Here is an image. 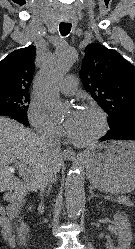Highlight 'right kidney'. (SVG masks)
I'll list each match as a JSON object with an SVG mask.
<instances>
[{"label": "right kidney", "mask_w": 135, "mask_h": 249, "mask_svg": "<svg viewBox=\"0 0 135 249\" xmlns=\"http://www.w3.org/2000/svg\"><path fill=\"white\" fill-rule=\"evenodd\" d=\"M21 227H22V228H21V232H20V234H19V239H20V244L22 245V244H23L22 240H23V238H24L23 235H25V233L28 232V228H27V226L24 225V224H23Z\"/></svg>", "instance_id": "ca27d5eb"}]
</instances>
